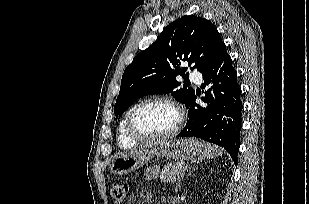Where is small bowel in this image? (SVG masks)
<instances>
[{
	"label": "small bowel",
	"mask_w": 309,
	"mask_h": 204,
	"mask_svg": "<svg viewBox=\"0 0 309 204\" xmlns=\"http://www.w3.org/2000/svg\"><path fill=\"white\" fill-rule=\"evenodd\" d=\"M155 170L151 169L147 172V178H151L154 175Z\"/></svg>",
	"instance_id": "c3829d8e"
}]
</instances>
